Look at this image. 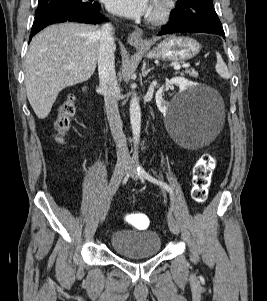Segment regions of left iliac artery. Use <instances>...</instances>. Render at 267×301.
I'll return each instance as SVG.
<instances>
[{
  "mask_svg": "<svg viewBox=\"0 0 267 301\" xmlns=\"http://www.w3.org/2000/svg\"><path fill=\"white\" fill-rule=\"evenodd\" d=\"M137 172H138V174L140 176H143L148 181H151V182L159 185L161 188L167 190L170 193L171 197H173V190H172V188L167 183H165L163 181H160V180H157L154 177H152L150 174H148L139 163L137 165Z\"/></svg>",
  "mask_w": 267,
  "mask_h": 301,
  "instance_id": "44dca946",
  "label": "left iliac artery"
}]
</instances>
